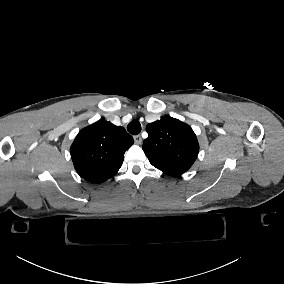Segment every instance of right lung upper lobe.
Instances as JSON below:
<instances>
[{
  "label": "right lung upper lobe",
  "mask_w": 284,
  "mask_h": 284,
  "mask_svg": "<svg viewBox=\"0 0 284 284\" xmlns=\"http://www.w3.org/2000/svg\"><path fill=\"white\" fill-rule=\"evenodd\" d=\"M133 143L123 127L101 119L83 128L71 145L75 170L88 182H104L118 172Z\"/></svg>",
  "instance_id": "cb5924a9"
}]
</instances>
